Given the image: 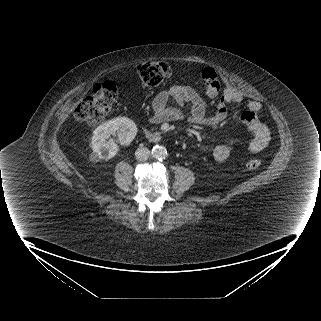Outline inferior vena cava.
Segmentation results:
<instances>
[{
	"instance_id": "inferior-vena-cava-1",
	"label": "inferior vena cava",
	"mask_w": 321,
	"mask_h": 321,
	"mask_svg": "<svg viewBox=\"0 0 321 321\" xmlns=\"http://www.w3.org/2000/svg\"><path fill=\"white\" fill-rule=\"evenodd\" d=\"M150 155V150L146 147H140L135 151V157L139 161H145Z\"/></svg>"
}]
</instances>
